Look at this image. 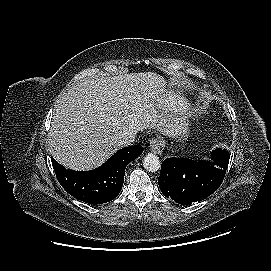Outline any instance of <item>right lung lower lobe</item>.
<instances>
[{"mask_svg": "<svg viewBox=\"0 0 271 271\" xmlns=\"http://www.w3.org/2000/svg\"><path fill=\"white\" fill-rule=\"evenodd\" d=\"M143 147L134 145L117 151L102 166L91 171L65 169L51 157L60 185L74 198L89 204H102L116 198L122 189L126 166Z\"/></svg>", "mask_w": 271, "mask_h": 271, "instance_id": "obj_1", "label": "right lung lower lobe"}]
</instances>
